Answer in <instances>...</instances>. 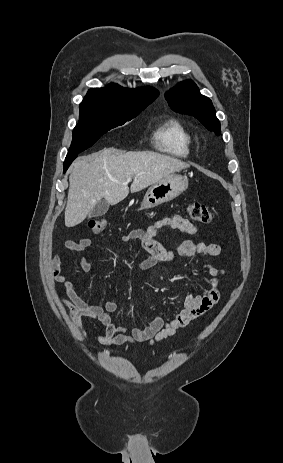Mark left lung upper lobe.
Masks as SVG:
<instances>
[{
	"mask_svg": "<svg viewBox=\"0 0 283 463\" xmlns=\"http://www.w3.org/2000/svg\"><path fill=\"white\" fill-rule=\"evenodd\" d=\"M171 108L179 113L196 117L208 130L221 134L220 122L212 101L201 95L192 80H185L165 94Z\"/></svg>",
	"mask_w": 283,
	"mask_h": 463,
	"instance_id": "obj_1",
	"label": "left lung upper lobe"
}]
</instances>
